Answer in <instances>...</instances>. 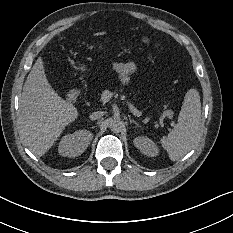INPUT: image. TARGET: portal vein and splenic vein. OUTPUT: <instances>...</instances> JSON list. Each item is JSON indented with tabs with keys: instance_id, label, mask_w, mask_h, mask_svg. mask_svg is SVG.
Returning <instances> with one entry per match:
<instances>
[{
	"instance_id": "obj_1",
	"label": "portal vein and splenic vein",
	"mask_w": 233,
	"mask_h": 233,
	"mask_svg": "<svg viewBox=\"0 0 233 233\" xmlns=\"http://www.w3.org/2000/svg\"><path fill=\"white\" fill-rule=\"evenodd\" d=\"M110 98H111V97H110ZM102 100H103L104 102H107V101H108V99H104L103 97H102ZM129 108L131 109L132 113H133L134 115H136L137 117H140V116L142 115V113H141L139 110H137L133 105L129 104ZM171 126H175V124H174V123H171Z\"/></svg>"
}]
</instances>
